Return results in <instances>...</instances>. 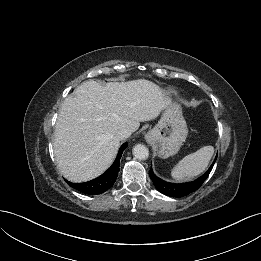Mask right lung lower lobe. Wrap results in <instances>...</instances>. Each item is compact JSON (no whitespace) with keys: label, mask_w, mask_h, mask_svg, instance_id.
Instances as JSON below:
<instances>
[{"label":"right lung lower lobe","mask_w":261,"mask_h":261,"mask_svg":"<svg viewBox=\"0 0 261 261\" xmlns=\"http://www.w3.org/2000/svg\"><path fill=\"white\" fill-rule=\"evenodd\" d=\"M127 146L128 143L126 142L120 147L116 160L112 166L101 176L84 183H72L67 180L65 181L74 189L87 195H98L109 190L117 179L120 158Z\"/></svg>","instance_id":"right-lung-lower-lobe-1"}]
</instances>
